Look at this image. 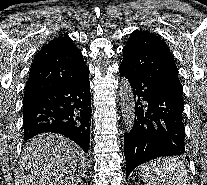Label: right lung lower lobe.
<instances>
[{"label": "right lung lower lobe", "mask_w": 207, "mask_h": 185, "mask_svg": "<svg viewBox=\"0 0 207 185\" xmlns=\"http://www.w3.org/2000/svg\"><path fill=\"white\" fill-rule=\"evenodd\" d=\"M89 72L83 77L23 101L24 141L53 132L62 134L87 152L90 141Z\"/></svg>", "instance_id": "1"}]
</instances>
